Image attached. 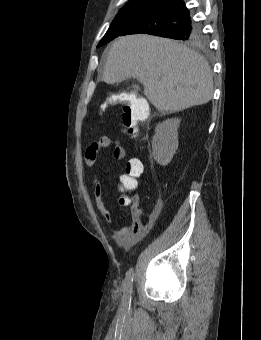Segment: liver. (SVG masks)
Instances as JSON below:
<instances>
[{
  "instance_id": "6515ba94",
  "label": "liver",
  "mask_w": 261,
  "mask_h": 340,
  "mask_svg": "<svg viewBox=\"0 0 261 340\" xmlns=\"http://www.w3.org/2000/svg\"><path fill=\"white\" fill-rule=\"evenodd\" d=\"M130 77L161 113L202 105L213 95L212 71L206 60L178 42L146 34L119 37L112 44L102 79L107 84Z\"/></svg>"
}]
</instances>
